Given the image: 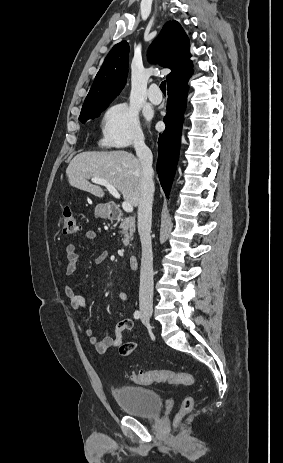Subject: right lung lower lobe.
Here are the masks:
<instances>
[{"mask_svg":"<svg viewBox=\"0 0 283 463\" xmlns=\"http://www.w3.org/2000/svg\"><path fill=\"white\" fill-rule=\"evenodd\" d=\"M167 114L165 131L158 140L157 173L168 198L179 155V142L185 109L187 80L167 87Z\"/></svg>","mask_w":283,"mask_h":463,"instance_id":"obj_1","label":"right lung lower lobe"}]
</instances>
